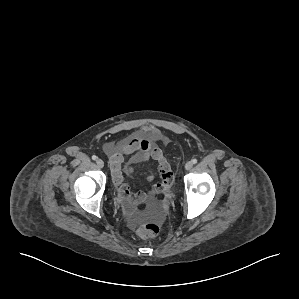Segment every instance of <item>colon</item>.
<instances>
[{"instance_id":"obj_1","label":"colon","mask_w":299,"mask_h":299,"mask_svg":"<svg viewBox=\"0 0 299 299\" xmlns=\"http://www.w3.org/2000/svg\"><path fill=\"white\" fill-rule=\"evenodd\" d=\"M160 231V227L155 223H148L140 227L138 233L143 238H151L156 236Z\"/></svg>"}]
</instances>
